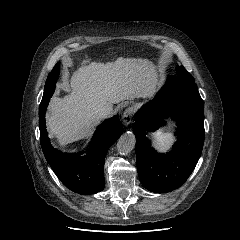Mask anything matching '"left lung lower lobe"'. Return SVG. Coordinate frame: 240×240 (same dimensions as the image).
Instances as JSON below:
<instances>
[{
    "mask_svg": "<svg viewBox=\"0 0 240 240\" xmlns=\"http://www.w3.org/2000/svg\"><path fill=\"white\" fill-rule=\"evenodd\" d=\"M171 115L177 120V141L166 153H158L146 137ZM137 171L143 186L154 193L179 188L194 170L204 143L203 100L194 81L170 76L155 98L135 116Z\"/></svg>",
    "mask_w": 240,
    "mask_h": 240,
    "instance_id": "1",
    "label": "left lung lower lobe"
}]
</instances>
